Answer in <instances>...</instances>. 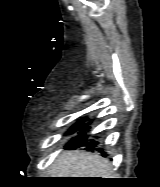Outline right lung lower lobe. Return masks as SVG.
Masks as SVG:
<instances>
[{
  "label": "right lung lower lobe",
  "instance_id": "obj_1",
  "mask_svg": "<svg viewBox=\"0 0 160 187\" xmlns=\"http://www.w3.org/2000/svg\"><path fill=\"white\" fill-rule=\"evenodd\" d=\"M84 130L87 129V126L83 127ZM83 130V132H84ZM84 134H82L81 132H79V137H77V140H73L70 141L65 147H70V148H77L80 146H87L89 148H94L97 151H99L103 156H105V152L103 151L102 148H95V146L97 145V142H95L93 139L90 140V142H87V137H83Z\"/></svg>",
  "mask_w": 160,
  "mask_h": 187
}]
</instances>
